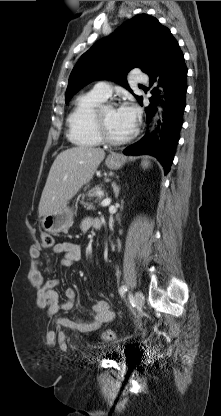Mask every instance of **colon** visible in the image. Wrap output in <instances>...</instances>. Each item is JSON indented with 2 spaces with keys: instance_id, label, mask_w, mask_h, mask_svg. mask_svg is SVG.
<instances>
[{
  "instance_id": "1",
  "label": "colon",
  "mask_w": 221,
  "mask_h": 416,
  "mask_svg": "<svg viewBox=\"0 0 221 416\" xmlns=\"http://www.w3.org/2000/svg\"><path fill=\"white\" fill-rule=\"evenodd\" d=\"M41 244L45 248H51L54 244V239L51 234L43 233L41 236ZM101 338L105 341H113L115 339V333L111 330H105L101 334Z\"/></svg>"
}]
</instances>
